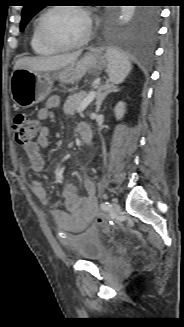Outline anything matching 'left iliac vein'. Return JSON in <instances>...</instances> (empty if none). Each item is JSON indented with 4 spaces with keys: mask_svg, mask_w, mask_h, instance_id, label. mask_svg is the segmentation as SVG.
<instances>
[{
    "mask_svg": "<svg viewBox=\"0 0 184 327\" xmlns=\"http://www.w3.org/2000/svg\"><path fill=\"white\" fill-rule=\"evenodd\" d=\"M111 207H112V211H113L114 215L118 216L121 212L120 205L116 202H113Z\"/></svg>",
    "mask_w": 184,
    "mask_h": 327,
    "instance_id": "obj_1",
    "label": "left iliac vein"
}]
</instances>
